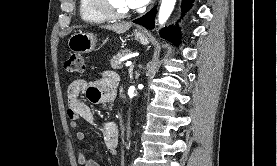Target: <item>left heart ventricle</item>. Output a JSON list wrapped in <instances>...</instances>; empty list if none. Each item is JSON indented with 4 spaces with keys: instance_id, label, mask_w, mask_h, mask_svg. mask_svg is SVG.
<instances>
[{
    "instance_id": "left-heart-ventricle-1",
    "label": "left heart ventricle",
    "mask_w": 277,
    "mask_h": 166,
    "mask_svg": "<svg viewBox=\"0 0 277 166\" xmlns=\"http://www.w3.org/2000/svg\"><path fill=\"white\" fill-rule=\"evenodd\" d=\"M110 6L118 12H126L131 10L127 0H108Z\"/></svg>"
}]
</instances>
